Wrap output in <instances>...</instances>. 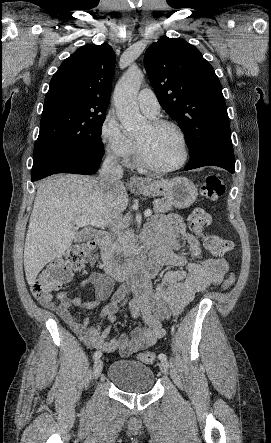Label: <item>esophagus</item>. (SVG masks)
Wrapping results in <instances>:
<instances>
[{
	"mask_svg": "<svg viewBox=\"0 0 271 443\" xmlns=\"http://www.w3.org/2000/svg\"><path fill=\"white\" fill-rule=\"evenodd\" d=\"M130 183L131 184H142V183H145V180L141 179L137 175H132L130 177Z\"/></svg>",
	"mask_w": 271,
	"mask_h": 443,
	"instance_id": "esophagus-1",
	"label": "esophagus"
}]
</instances>
